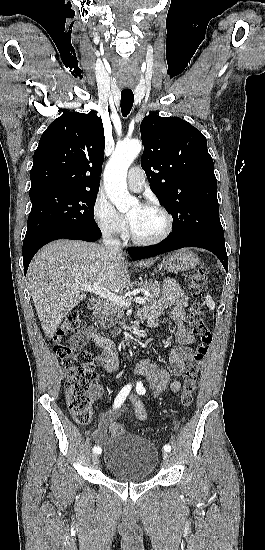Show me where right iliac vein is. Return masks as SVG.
<instances>
[{"instance_id":"right-iliac-vein-1","label":"right iliac vein","mask_w":265,"mask_h":550,"mask_svg":"<svg viewBox=\"0 0 265 550\" xmlns=\"http://www.w3.org/2000/svg\"><path fill=\"white\" fill-rule=\"evenodd\" d=\"M98 458H99V457H98V454H97V453H93V454H92V461H93V463H97Z\"/></svg>"}]
</instances>
